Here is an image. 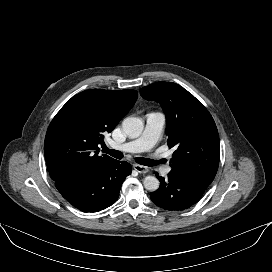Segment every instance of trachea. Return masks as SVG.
<instances>
[{
    "instance_id": "obj_1",
    "label": "trachea",
    "mask_w": 272,
    "mask_h": 272,
    "mask_svg": "<svg viewBox=\"0 0 272 272\" xmlns=\"http://www.w3.org/2000/svg\"><path fill=\"white\" fill-rule=\"evenodd\" d=\"M103 152L109 154L110 156H112V157H114L116 159H122L123 158V153L122 152H120L118 150H111V149L107 148L106 146L103 147ZM135 160H136L137 163H139L141 165H144V166H149V167H152V166L158 165L160 163H163V160L154 161V160L146 159V158H142V157H137Z\"/></svg>"
}]
</instances>
